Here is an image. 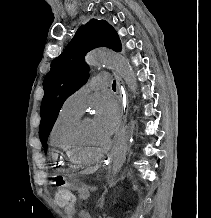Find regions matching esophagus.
Returning a JSON list of instances; mask_svg holds the SVG:
<instances>
[{
	"label": "esophagus",
	"mask_w": 211,
	"mask_h": 218,
	"mask_svg": "<svg viewBox=\"0 0 211 218\" xmlns=\"http://www.w3.org/2000/svg\"><path fill=\"white\" fill-rule=\"evenodd\" d=\"M117 84H118V93L120 94V98L122 102L124 103H129L130 102V93H128V89H123V85H121L122 82V76H117ZM122 116L123 117H128L129 113L128 110L130 108L129 104H122ZM121 124L119 125L121 128L124 126L122 123H126V118H121ZM115 141L118 139L116 136L113 138ZM114 159L113 152H111V149H108V152H106L105 159L102 160L101 164V171L102 172H109L110 171V164L112 163V160Z\"/></svg>",
	"instance_id": "esophagus-1"
}]
</instances>
